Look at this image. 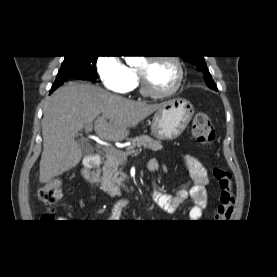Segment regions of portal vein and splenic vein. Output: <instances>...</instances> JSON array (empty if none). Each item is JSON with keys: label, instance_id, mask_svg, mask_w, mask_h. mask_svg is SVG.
<instances>
[{"label": "portal vein and splenic vein", "instance_id": "1", "mask_svg": "<svg viewBox=\"0 0 277 277\" xmlns=\"http://www.w3.org/2000/svg\"><path fill=\"white\" fill-rule=\"evenodd\" d=\"M87 131H91L92 130V125H88L86 127ZM101 145H106L105 143L100 142ZM102 150L106 153L107 156L111 155L114 152H117V150H115L114 148L110 147V146H102Z\"/></svg>", "mask_w": 277, "mask_h": 277}]
</instances>
